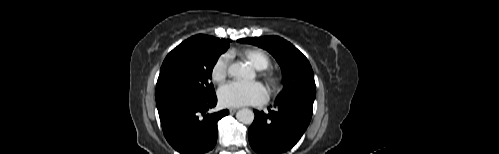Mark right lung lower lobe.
I'll use <instances>...</instances> for the list:
<instances>
[{"label": "right lung lower lobe", "mask_w": 499, "mask_h": 154, "mask_svg": "<svg viewBox=\"0 0 499 154\" xmlns=\"http://www.w3.org/2000/svg\"><path fill=\"white\" fill-rule=\"evenodd\" d=\"M217 103L216 95L204 100L171 98L157 103L163 133L181 154H203L217 141V122L228 110L208 113Z\"/></svg>", "instance_id": "right-lung-lower-lobe-1"}]
</instances>
